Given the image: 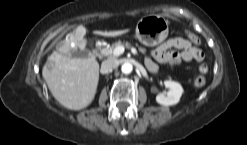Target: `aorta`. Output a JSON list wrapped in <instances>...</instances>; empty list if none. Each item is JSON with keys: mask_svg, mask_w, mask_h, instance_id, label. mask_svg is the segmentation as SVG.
<instances>
[{"mask_svg": "<svg viewBox=\"0 0 247 145\" xmlns=\"http://www.w3.org/2000/svg\"><path fill=\"white\" fill-rule=\"evenodd\" d=\"M133 66L131 63L129 62H125L122 66H121V71L124 74H130L132 72Z\"/></svg>", "mask_w": 247, "mask_h": 145, "instance_id": "1", "label": "aorta"}]
</instances>
